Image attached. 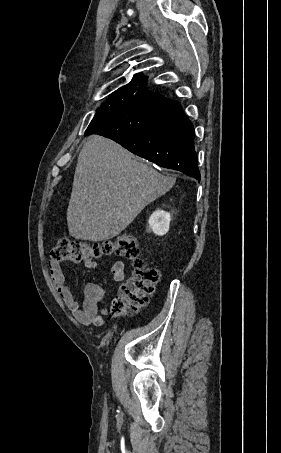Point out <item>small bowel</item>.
<instances>
[{
	"label": "small bowel",
	"mask_w": 281,
	"mask_h": 453,
	"mask_svg": "<svg viewBox=\"0 0 281 453\" xmlns=\"http://www.w3.org/2000/svg\"><path fill=\"white\" fill-rule=\"evenodd\" d=\"M86 267L95 270L97 268V262L93 259H88L86 261ZM49 270L60 296L64 299L68 307L73 310L78 321L85 326H102L108 309L113 307V304H110L105 309H101L105 297L103 286L95 282L86 283L84 286V299L82 304H79L71 288L66 283L65 275L58 259H51ZM125 270L126 266L123 261L118 260L114 263L113 276L115 281H124Z\"/></svg>",
	"instance_id": "obj_1"
}]
</instances>
